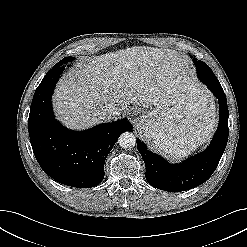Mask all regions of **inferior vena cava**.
Instances as JSON below:
<instances>
[{
    "label": "inferior vena cava",
    "instance_id": "602c4592",
    "mask_svg": "<svg viewBox=\"0 0 247 247\" xmlns=\"http://www.w3.org/2000/svg\"><path fill=\"white\" fill-rule=\"evenodd\" d=\"M101 113L105 119H111L119 114V110L115 105L107 104L103 107Z\"/></svg>",
    "mask_w": 247,
    "mask_h": 247
}]
</instances>
